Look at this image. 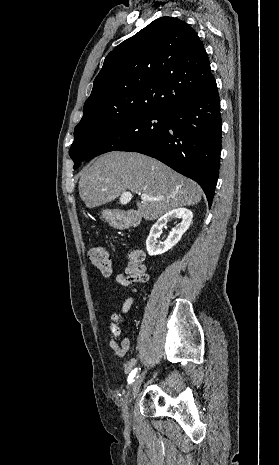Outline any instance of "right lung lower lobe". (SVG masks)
I'll return each mask as SVG.
<instances>
[{
    "label": "right lung lower lobe",
    "instance_id": "98d812e1",
    "mask_svg": "<svg viewBox=\"0 0 279 465\" xmlns=\"http://www.w3.org/2000/svg\"><path fill=\"white\" fill-rule=\"evenodd\" d=\"M165 130L146 145L122 151L139 152L158 159L196 181L212 204L220 167L222 120L215 80L198 97L167 110Z\"/></svg>",
    "mask_w": 279,
    "mask_h": 465
}]
</instances>
